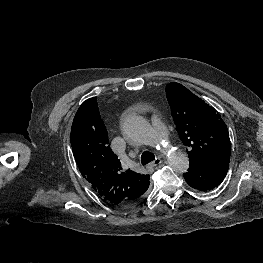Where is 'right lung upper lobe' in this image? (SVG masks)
Listing matches in <instances>:
<instances>
[{
  "instance_id": "cb5924a9",
  "label": "right lung upper lobe",
  "mask_w": 263,
  "mask_h": 263,
  "mask_svg": "<svg viewBox=\"0 0 263 263\" xmlns=\"http://www.w3.org/2000/svg\"><path fill=\"white\" fill-rule=\"evenodd\" d=\"M71 146L82 176L108 204L120 207L149 187V175L122 171L108 144L96 97L79 107L71 128Z\"/></svg>"
}]
</instances>
